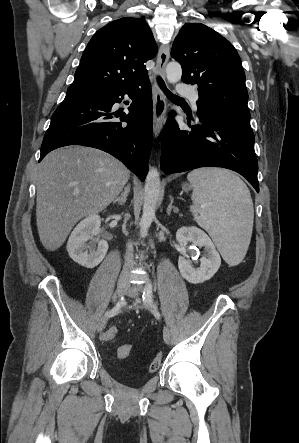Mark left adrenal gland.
<instances>
[{"label": "left adrenal gland", "instance_id": "left-adrenal-gland-1", "mask_svg": "<svg viewBox=\"0 0 299 443\" xmlns=\"http://www.w3.org/2000/svg\"><path fill=\"white\" fill-rule=\"evenodd\" d=\"M173 201H174V199L171 197V198H170V204H169V206H168V208H167V214H168V215H170L171 210H173L175 213L178 212V209H177L175 206H173Z\"/></svg>", "mask_w": 299, "mask_h": 443}]
</instances>
